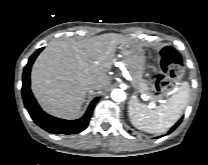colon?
Returning a JSON list of instances; mask_svg holds the SVG:
<instances>
[{
    "mask_svg": "<svg viewBox=\"0 0 208 165\" xmlns=\"http://www.w3.org/2000/svg\"><path fill=\"white\" fill-rule=\"evenodd\" d=\"M159 70L152 79V88L156 96L166 95L171 89V80L182 73V58L177 50L171 46L163 48L159 56Z\"/></svg>",
    "mask_w": 208,
    "mask_h": 165,
    "instance_id": "5ec220e1",
    "label": "colon"
}]
</instances>
